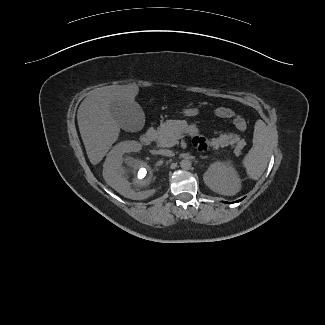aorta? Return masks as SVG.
<instances>
[{"instance_id":"obj_1","label":"aorta","mask_w":325,"mask_h":325,"mask_svg":"<svg viewBox=\"0 0 325 325\" xmlns=\"http://www.w3.org/2000/svg\"><path fill=\"white\" fill-rule=\"evenodd\" d=\"M191 165H192L191 161L187 159H184L180 162V166L184 170H189L191 168Z\"/></svg>"}]
</instances>
